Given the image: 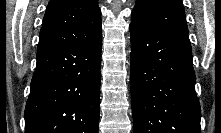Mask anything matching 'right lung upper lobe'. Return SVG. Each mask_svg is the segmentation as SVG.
Listing matches in <instances>:
<instances>
[{
  "label": "right lung upper lobe",
  "mask_w": 221,
  "mask_h": 133,
  "mask_svg": "<svg viewBox=\"0 0 221 133\" xmlns=\"http://www.w3.org/2000/svg\"><path fill=\"white\" fill-rule=\"evenodd\" d=\"M101 29L97 0H50L37 51L80 45Z\"/></svg>",
  "instance_id": "right-lung-upper-lobe-1"
}]
</instances>
